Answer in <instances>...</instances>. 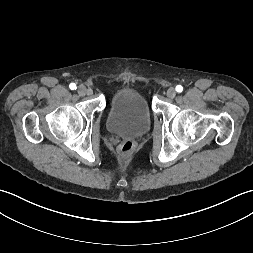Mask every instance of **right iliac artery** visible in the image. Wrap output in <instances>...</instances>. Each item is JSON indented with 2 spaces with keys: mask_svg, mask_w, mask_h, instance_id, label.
<instances>
[{
  "mask_svg": "<svg viewBox=\"0 0 253 253\" xmlns=\"http://www.w3.org/2000/svg\"><path fill=\"white\" fill-rule=\"evenodd\" d=\"M69 87L71 90H75L77 88L75 83H71Z\"/></svg>",
  "mask_w": 253,
  "mask_h": 253,
  "instance_id": "82829eb1",
  "label": "right iliac artery"
}]
</instances>
